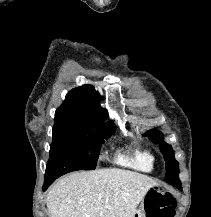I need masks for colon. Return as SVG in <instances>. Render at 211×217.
I'll return each instance as SVG.
<instances>
[{
  "label": "colon",
  "instance_id": "colon-1",
  "mask_svg": "<svg viewBox=\"0 0 211 217\" xmlns=\"http://www.w3.org/2000/svg\"><path fill=\"white\" fill-rule=\"evenodd\" d=\"M176 198L166 190L154 188L146 199V217H174Z\"/></svg>",
  "mask_w": 211,
  "mask_h": 217
}]
</instances>
